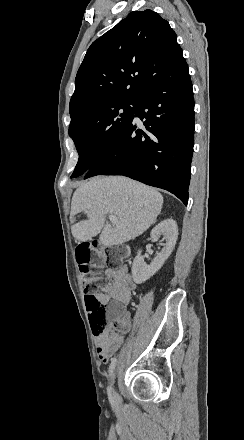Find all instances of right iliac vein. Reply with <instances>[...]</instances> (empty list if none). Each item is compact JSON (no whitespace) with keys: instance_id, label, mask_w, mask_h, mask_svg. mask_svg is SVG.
Segmentation results:
<instances>
[{"instance_id":"63e3f726","label":"right iliac vein","mask_w":244,"mask_h":440,"mask_svg":"<svg viewBox=\"0 0 244 440\" xmlns=\"http://www.w3.org/2000/svg\"><path fill=\"white\" fill-rule=\"evenodd\" d=\"M114 381H115V374L113 373L112 377H111V384L112 385L114 384ZM114 396H116V392H114Z\"/></svg>"}]
</instances>
